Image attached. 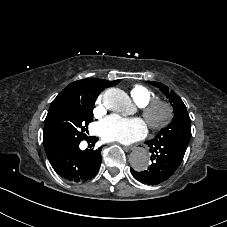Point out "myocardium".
I'll list each match as a JSON object with an SVG mask.
<instances>
[{
	"label": "myocardium",
	"mask_w": 227,
	"mask_h": 227,
	"mask_svg": "<svg viewBox=\"0 0 227 227\" xmlns=\"http://www.w3.org/2000/svg\"><path fill=\"white\" fill-rule=\"evenodd\" d=\"M157 109H163L164 116L161 120L154 121L152 117ZM141 110L142 115L148 122L149 126L155 130L166 128L170 125L175 117L174 106L170 102L161 99L150 100L147 104L141 107Z\"/></svg>",
	"instance_id": "1"
}]
</instances>
